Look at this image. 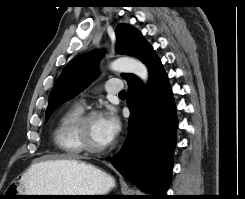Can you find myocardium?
I'll return each instance as SVG.
<instances>
[{
	"label": "myocardium",
	"mask_w": 245,
	"mask_h": 199,
	"mask_svg": "<svg viewBox=\"0 0 245 199\" xmlns=\"http://www.w3.org/2000/svg\"><path fill=\"white\" fill-rule=\"evenodd\" d=\"M101 116V113L98 110L92 109L83 112L73 123L72 134L76 144L82 151L91 153V154H101L110 149V145L105 147H94L87 142L85 139L86 125L94 117Z\"/></svg>",
	"instance_id": "myocardium-1"
}]
</instances>
